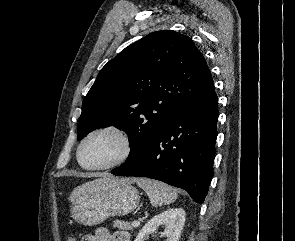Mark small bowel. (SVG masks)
<instances>
[{"label":"small bowel","instance_id":"1","mask_svg":"<svg viewBox=\"0 0 295 241\" xmlns=\"http://www.w3.org/2000/svg\"><path fill=\"white\" fill-rule=\"evenodd\" d=\"M83 241H129V236L123 231L111 234L106 228H98L94 234L85 236Z\"/></svg>","mask_w":295,"mask_h":241}]
</instances>
